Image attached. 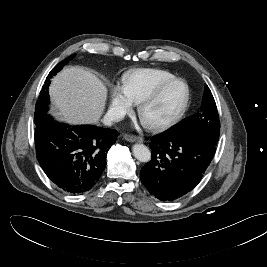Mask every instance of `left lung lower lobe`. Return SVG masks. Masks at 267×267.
<instances>
[{
  "label": "left lung lower lobe",
  "mask_w": 267,
  "mask_h": 267,
  "mask_svg": "<svg viewBox=\"0 0 267 267\" xmlns=\"http://www.w3.org/2000/svg\"><path fill=\"white\" fill-rule=\"evenodd\" d=\"M151 161L140 171L148 191L163 201L182 197L198 185L216 145L198 133L165 132L152 137Z\"/></svg>",
  "instance_id": "obj_1"
}]
</instances>
